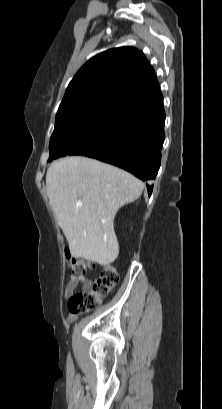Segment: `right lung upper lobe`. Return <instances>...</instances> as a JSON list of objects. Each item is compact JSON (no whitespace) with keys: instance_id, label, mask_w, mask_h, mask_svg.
Wrapping results in <instances>:
<instances>
[{"instance_id":"obj_1","label":"right lung upper lobe","mask_w":222,"mask_h":409,"mask_svg":"<svg viewBox=\"0 0 222 409\" xmlns=\"http://www.w3.org/2000/svg\"><path fill=\"white\" fill-rule=\"evenodd\" d=\"M161 95L154 69L133 47H119L91 58L69 83L58 111L98 103L121 106Z\"/></svg>"}]
</instances>
